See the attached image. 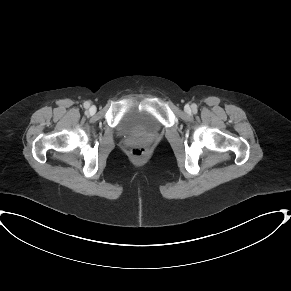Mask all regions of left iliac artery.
<instances>
[{
  "label": "left iliac artery",
  "instance_id": "44dca946",
  "mask_svg": "<svg viewBox=\"0 0 291 291\" xmlns=\"http://www.w3.org/2000/svg\"><path fill=\"white\" fill-rule=\"evenodd\" d=\"M192 109H193V111H197V105L196 104H193L192 105Z\"/></svg>",
  "mask_w": 291,
  "mask_h": 291
}]
</instances>
